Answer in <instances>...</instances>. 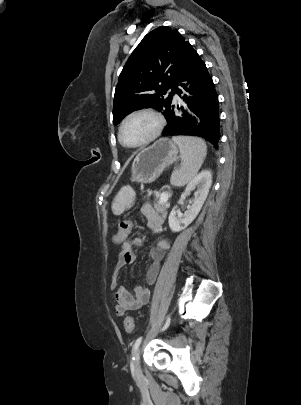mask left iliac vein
I'll use <instances>...</instances> for the list:
<instances>
[{"label": "left iliac vein", "mask_w": 301, "mask_h": 405, "mask_svg": "<svg viewBox=\"0 0 301 405\" xmlns=\"http://www.w3.org/2000/svg\"><path fill=\"white\" fill-rule=\"evenodd\" d=\"M133 364H134V368H135L136 374H137V375H140V374H141V369H140V354H139V349H137V350L135 351Z\"/></svg>", "instance_id": "obj_1"}]
</instances>
